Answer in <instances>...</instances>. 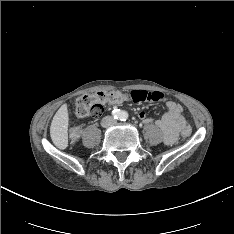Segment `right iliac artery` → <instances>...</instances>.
I'll use <instances>...</instances> for the list:
<instances>
[{
  "label": "right iliac artery",
  "mask_w": 234,
  "mask_h": 234,
  "mask_svg": "<svg viewBox=\"0 0 234 234\" xmlns=\"http://www.w3.org/2000/svg\"><path fill=\"white\" fill-rule=\"evenodd\" d=\"M112 115H113V117L114 118H119L120 117V112H119V110L118 109H115V110H113L112 111Z\"/></svg>",
  "instance_id": "right-iliac-artery-1"
}]
</instances>
